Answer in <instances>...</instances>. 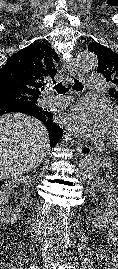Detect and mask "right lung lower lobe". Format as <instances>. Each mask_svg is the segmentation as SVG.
I'll return each mask as SVG.
<instances>
[{"label": "right lung lower lobe", "instance_id": "right-lung-lower-lobe-1", "mask_svg": "<svg viewBox=\"0 0 118 269\" xmlns=\"http://www.w3.org/2000/svg\"><path fill=\"white\" fill-rule=\"evenodd\" d=\"M9 112H22L32 116L34 108L28 104L18 102V101H4L0 102V116ZM62 136V130L57 128V133L52 137V145L56 143L58 138ZM50 137V136H49Z\"/></svg>", "mask_w": 118, "mask_h": 269}]
</instances>
